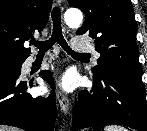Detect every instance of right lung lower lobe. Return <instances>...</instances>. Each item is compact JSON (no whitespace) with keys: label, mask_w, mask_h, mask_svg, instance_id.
I'll list each match as a JSON object with an SVG mask.
<instances>
[{"label":"right lung lower lobe","mask_w":147,"mask_h":131,"mask_svg":"<svg viewBox=\"0 0 147 131\" xmlns=\"http://www.w3.org/2000/svg\"><path fill=\"white\" fill-rule=\"evenodd\" d=\"M19 74H0V125L19 127L26 131H53L56 120L54 84L50 72L42 78L52 87L48 98H33L25 91L33 81H20Z\"/></svg>","instance_id":"98d812e1"}]
</instances>
